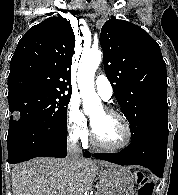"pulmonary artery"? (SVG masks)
I'll use <instances>...</instances> for the list:
<instances>
[{
  "instance_id": "e3ab8cb5",
  "label": "pulmonary artery",
  "mask_w": 178,
  "mask_h": 195,
  "mask_svg": "<svg viewBox=\"0 0 178 195\" xmlns=\"http://www.w3.org/2000/svg\"><path fill=\"white\" fill-rule=\"evenodd\" d=\"M95 87L99 95L104 100H109L113 95V88L108 80V78L104 75H99L95 80Z\"/></svg>"
}]
</instances>
